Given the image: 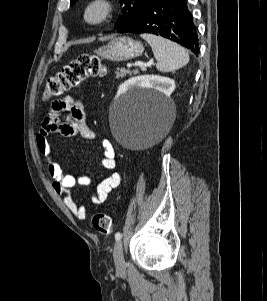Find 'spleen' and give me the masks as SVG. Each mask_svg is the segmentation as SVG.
I'll use <instances>...</instances> for the list:
<instances>
[{
	"instance_id": "spleen-1",
	"label": "spleen",
	"mask_w": 267,
	"mask_h": 301,
	"mask_svg": "<svg viewBox=\"0 0 267 301\" xmlns=\"http://www.w3.org/2000/svg\"><path fill=\"white\" fill-rule=\"evenodd\" d=\"M141 37L151 46L159 71H175L189 62L187 51L176 43L153 34H142Z\"/></svg>"
}]
</instances>
